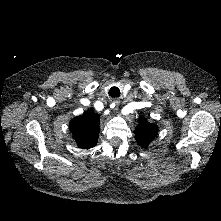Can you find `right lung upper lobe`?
Segmentation results:
<instances>
[{
  "label": "right lung upper lobe",
  "mask_w": 221,
  "mask_h": 221,
  "mask_svg": "<svg viewBox=\"0 0 221 221\" xmlns=\"http://www.w3.org/2000/svg\"><path fill=\"white\" fill-rule=\"evenodd\" d=\"M99 118L100 116L90 109L70 121V132L80 148L88 149L97 144Z\"/></svg>",
  "instance_id": "cb5924a9"
}]
</instances>
